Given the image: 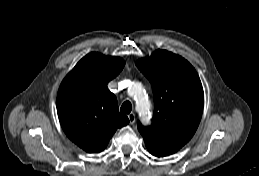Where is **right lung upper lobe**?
<instances>
[{
    "label": "right lung upper lobe",
    "mask_w": 259,
    "mask_h": 176,
    "mask_svg": "<svg viewBox=\"0 0 259 176\" xmlns=\"http://www.w3.org/2000/svg\"><path fill=\"white\" fill-rule=\"evenodd\" d=\"M124 65L119 57L92 52L60 85L56 101L60 124L68 138L88 153L104 150L117 128L129 123L107 87Z\"/></svg>",
    "instance_id": "right-lung-upper-lobe-1"
}]
</instances>
